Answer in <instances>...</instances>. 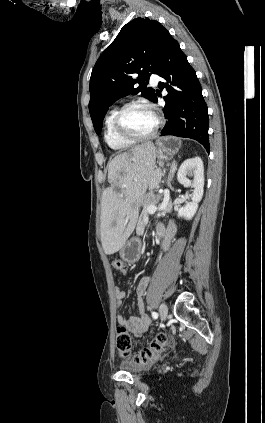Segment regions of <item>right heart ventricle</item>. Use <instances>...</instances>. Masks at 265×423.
<instances>
[{
  "label": "right heart ventricle",
  "mask_w": 265,
  "mask_h": 423,
  "mask_svg": "<svg viewBox=\"0 0 265 423\" xmlns=\"http://www.w3.org/2000/svg\"><path fill=\"white\" fill-rule=\"evenodd\" d=\"M119 107L110 110L105 119L104 139L107 145L114 151L121 152L129 149L134 145L132 142L121 139L115 132L114 119L119 111Z\"/></svg>",
  "instance_id": "e07e8e85"
}]
</instances>
